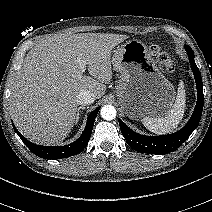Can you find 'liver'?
<instances>
[{"label": "liver", "instance_id": "1", "mask_svg": "<svg viewBox=\"0 0 212 212\" xmlns=\"http://www.w3.org/2000/svg\"><path fill=\"white\" fill-rule=\"evenodd\" d=\"M127 35H53L26 55L11 92L10 111L17 129L30 141L54 145L70 133L77 117V94L100 99L112 79V49ZM79 59L90 76L83 75Z\"/></svg>", "mask_w": 212, "mask_h": 212}]
</instances>
